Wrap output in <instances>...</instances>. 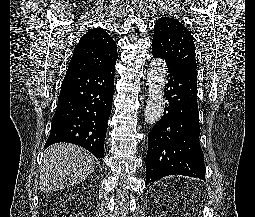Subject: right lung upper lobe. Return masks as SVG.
<instances>
[{"mask_svg":"<svg viewBox=\"0 0 255 217\" xmlns=\"http://www.w3.org/2000/svg\"><path fill=\"white\" fill-rule=\"evenodd\" d=\"M116 42L102 28L89 29L76 44L68 70H96L116 63Z\"/></svg>","mask_w":255,"mask_h":217,"instance_id":"obj_1","label":"right lung upper lobe"}]
</instances>
